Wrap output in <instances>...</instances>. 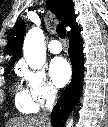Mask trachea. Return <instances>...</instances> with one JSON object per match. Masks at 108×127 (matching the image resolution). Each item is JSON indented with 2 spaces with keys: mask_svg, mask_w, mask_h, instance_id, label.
<instances>
[{
  "mask_svg": "<svg viewBox=\"0 0 108 127\" xmlns=\"http://www.w3.org/2000/svg\"><path fill=\"white\" fill-rule=\"evenodd\" d=\"M57 33H58V36H59L61 39H65V37H66V29H65L64 24L59 23V24L57 25Z\"/></svg>",
  "mask_w": 108,
  "mask_h": 127,
  "instance_id": "trachea-1",
  "label": "trachea"
}]
</instances>
